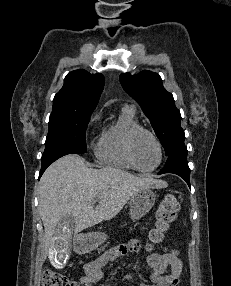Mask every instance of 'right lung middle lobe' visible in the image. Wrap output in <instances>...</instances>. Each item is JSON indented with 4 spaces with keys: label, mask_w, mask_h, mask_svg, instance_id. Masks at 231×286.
<instances>
[{
    "label": "right lung middle lobe",
    "mask_w": 231,
    "mask_h": 286,
    "mask_svg": "<svg viewBox=\"0 0 231 286\" xmlns=\"http://www.w3.org/2000/svg\"><path fill=\"white\" fill-rule=\"evenodd\" d=\"M93 111H52L41 161L58 155L85 153V132Z\"/></svg>",
    "instance_id": "dd1d6c3e"
}]
</instances>
